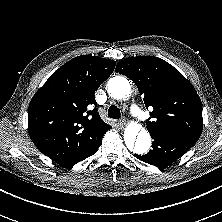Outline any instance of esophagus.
Instances as JSON below:
<instances>
[{"label": "esophagus", "instance_id": "obj_1", "mask_svg": "<svg viewBox=\"0 0 222 222\" xmlns=\"http://www.w3.org/2000/svg\"><path fill=\"white\" fill-rule=\"evenodd\" d=\"M126 125V119L123 118L118 121V127L123 128Z\"/></svg>", "mask_w": 222, "mask_h": 222}]
</instances>
